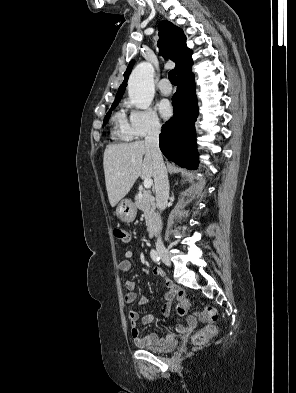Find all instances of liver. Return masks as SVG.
Segmentation results:
<instances>
[{
	"mask_svg": "<svg viewBox=\"0 0 296 393\" xmlns=\"http://www.w3.org/2000/svg\"><path fill=\"white\" fill-rule=\"evenodd\" d=\"M103 167L110 205L126 196L138 177L154 176V160L145 141L111 144L104 151Z\"/></svg>",
	"mask_w": 296,
	"mask_h": 393,
	"instance_id": "6515ba94",
	"label": "liver"
}]
</instances>
